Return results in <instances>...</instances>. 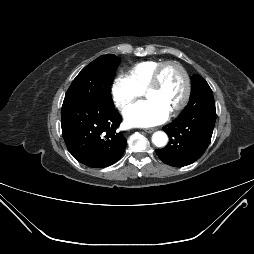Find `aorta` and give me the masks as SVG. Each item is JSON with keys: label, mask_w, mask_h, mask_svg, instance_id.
I'll return each mask as SVG.
<instances>
[{"label": "aorta", "mask_w": 254, "mask_h": 254, "mask_svg": "<svg viewBox=\"0 0 254 254\" xmlns=\"http://www.w3.org/2000/svg\"><path fill=\"white\" fill-rule=\"evenodd\" d=\"M152 142L157 147H163V146H165L167 144L168 137H167L165 132L157 131L152 136Z\"/></svg>", "instance_id": "1"}]
</instances>
